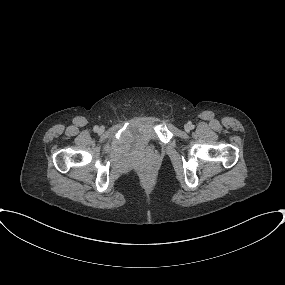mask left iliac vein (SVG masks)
<instances>
[{
  "label": "left iliac vein",
  "mask_w": 285,
  "mask_h": 285,
  "mask_svg": "<svg viewBox=\"0 0 285 285\" xmlns=\"http://www.w3.org/2000/svg\"><path fill=\"white\" fill-rule=\"evenodd\" d=\"M184 128H185L186 131H189L191 127H190V125L186 124V125L184 126Z\"/></svg>",
  "instance_id": "1"
}]
</instances>
